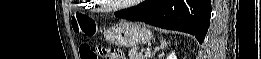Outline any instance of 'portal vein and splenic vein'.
Segmentation results:
<instances>
[{
	"label": "portal vein and splenic vein",
	"mask_w": 261,
	"mask_h": 59,
	"mask_svg": "<svg viewBox=\"0 0 261 59\" xmlns=\"http://www.w3.org/2000/svg\"><path fill=\"white\" fill-rule=\"evenodd\" d=\"M151 55V52L150 51H147L146 53H145V56H150Z\"/></svg>",
	"instance_id": "obj_1"
}]
</instances>
